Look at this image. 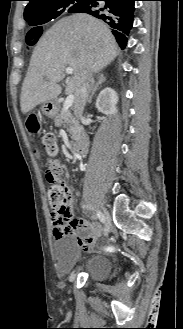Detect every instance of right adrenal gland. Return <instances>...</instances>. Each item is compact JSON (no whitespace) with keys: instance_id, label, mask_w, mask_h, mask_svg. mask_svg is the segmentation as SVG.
Instances as JSON below:
<instances>
[{"instance_id":"obj_1","label":"right adrenal gland","mask_w":183,"mask_h":329,"mask_svg":"<svg viewBox=\"0 0 183 329\" xmlns=\"http://www.w3.org/2000/svg\"><path fill=\"white\" fill-rule=\"evenodd\" d=\"M106 80V78L104 77L103 74H98L97 75V82L96 84L94 85L93 89H92V92L88 98V104H90L92 102V98L95 94V92L97 91V89L99 88V86Z\"/></svg>"}]
</instances>
